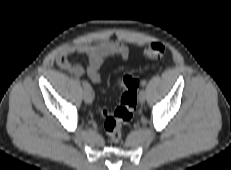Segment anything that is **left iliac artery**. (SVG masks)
I'll list each match as a JSON object with an SVG mask.
<instances>
[{"instance_id": "obj_1", "label": "left iliac artery", "mask_w": 231, "mask_h": 170, "mask_svg": "<svg viewBox=\"0 0 231 170\" xmlns=\"http://www.w3.org/2000/svg\"><path fill=\"white\" fill-rule=\"evenodd\" d=\"M146 83H147V82H146L145 80H143L141 84H142V86H145Z\"/></svg>"}]
</instances>
